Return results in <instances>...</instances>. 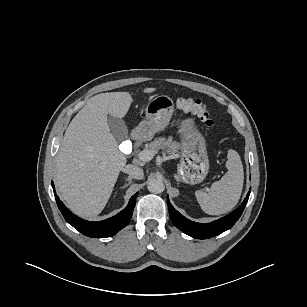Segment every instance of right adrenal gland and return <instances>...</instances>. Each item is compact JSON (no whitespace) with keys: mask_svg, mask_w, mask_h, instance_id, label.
<instances>
[{"mask_svg":"<svg viewBox=\"0 0 307 307\" xmlns=\"http://www.w3.org/2000/svg\"><path fill=\"white\" fill-rule=\"evenodd\" d=\"M134 177H132V176H128L127 178H126V180L128 181V184H126L125 186H123L122 188H125L126 186H128L131 182H132V179H133Z\"/></svg>","mask_w":307,"mask_h":307,"instance_id":"1","label":"right adrenal gland"}]
</instances>
